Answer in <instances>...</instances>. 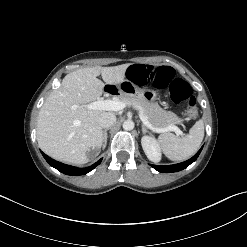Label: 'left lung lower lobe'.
I'll use <instances>...</instances> for the list:
<instances>
[{"mask_svg":"<svg viewBox=\"0 0 247 247\" xmlns=\"http://www.w3.org/2000/svg\"><path fill=\"white\" fill-rule=\"evenodd\" d=\"M202 148L203 147H201V149L192 158H190L189 160L185 162L174 164V165H167V166H160V165H151V166L157 171L163 172V173L177 172V171L183 170L198 158Z\"/></svg>","mask_w":247,"mask_h":247,"instance_id":"0a47b994","label":"left lung lower lobe"}]
</instances>
